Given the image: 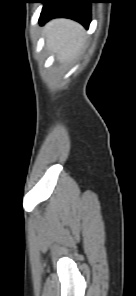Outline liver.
Instances as JSON below:
<instances>
[{"label": "liver", "instance_id": "obj_1", "mask_svg": "<svg viewBox=\"0 0 136 296\" xmlns=\"http://www.w3.org/2000/svg\"><path fill=\"white\" fill-rule=\"evenodd\" d=\"M47 48L65 62L76 56L83 47L84 30L69 19H54L44 28Z\"/></svg>", "mask_w": 136, "mask_h": 296}]
</instances>
